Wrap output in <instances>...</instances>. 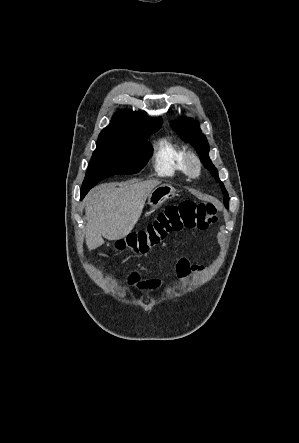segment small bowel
<instances>
[{
	"label": "small bowel",
	"mask_w": 299,
	"mask_h": 443,
	"mask_svg": "<svg viewBox=\"0 0 299 443\" xmlns=\"http://www.w3.org/2000/svg\"><path fill=\"white\" fill-rule=\"evenodd\" d=\"M193 268L191 267L189 261L186 258H180L176 265L177 276L181 281H186ZM129 282L135 284L139 290L145 291H157L160 288V281L157 279H141L137 272H133L130 275Z\"/></svg>",
	"instance_id": "small-bowel-1"
}]
</instances>
